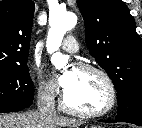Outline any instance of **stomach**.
<instances>
[{
	"label": "stomach",
	"instance_id": "0dacf381",
	"mask_svg": "<svg viewBox=\"0 0 142 128\" xmlns=\"http://www.w3.org/2000/svg\"><path fill=\"white\" fill-rule=\"evenodd\" d=\"M91 128H101V127L94 125V126H92Z\"/></svg>",
	"mask_w": 142,
	"mask_h": 128
}]
</instances>
